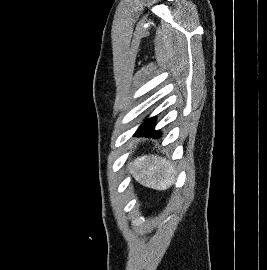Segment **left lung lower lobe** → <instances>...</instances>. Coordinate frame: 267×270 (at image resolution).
I'll return each instance as SVG.
<instances>
[{"label": "left lung lower lobe", "instance_id": "obj_1", "mask_svg": "<svg viewBox=\"0 0 267 270\" xmlns=\"http://www.w3.org/2000/svg\"><path fill=\"white\" fill-rule=\"evenodd\" d=\"M154 127H155V117L148 118L139 126L135 135L159 138L162 134L159 131H155Z\"/></svg>", "mask_w": 267, "mask_h": 270}]
</instances>
